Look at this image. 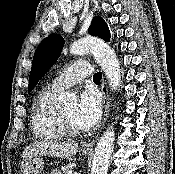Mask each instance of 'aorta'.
Masks as SVG:
<instances>
[{
    "label": "aorta",
    "mask_w": 175,
    "mask_h": 174,
    "mask_svg": "<svg viewBox=\"0 0 175 174\" xmlns=\"http://www.w3.org/2000/svg\"><path fill=\"white\" fill-rule=\"evenodd\" d=\"M91 52L101 66L110 87L117 90L121 85V71L119 61L114 50L104 41L96 37L82 38L70 46V53L82 55ZM75 94L62 92L59 101L63 104L76 102ZM114 129L109 127L100 137L94 151L91 174H107L109 160L114 145Z\"/></svg>",
    "instance_id": "obj_1"
}]
</instances>
